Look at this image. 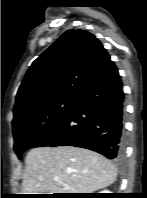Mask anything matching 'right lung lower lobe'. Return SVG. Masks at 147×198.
Instances as JSON below:
<instances>
[{
  "instance_id": "1",
  "label": "right lung lower lobe",
  "mask_w": 147,
  "mask_h": 198,
  "mask_svg": "<svg viewBox=\"0 0 147 198\" xmlns=\"http://www.w3.org/2000/svg\"><path fill=\"white\" fill-rule=\"evenodd\" d=\"M123 101L122 81L111 62L75 99L65 117L32 148L70 145L96 151L109 159L122 158Z\"/></svg>"
}]
</instances>
